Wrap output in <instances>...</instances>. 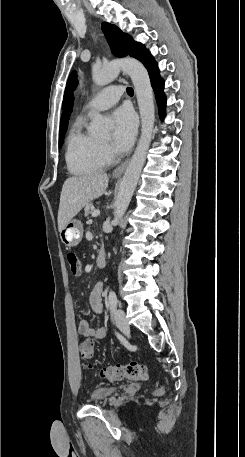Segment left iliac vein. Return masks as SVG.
Instances as JSON below:
<instances>
[{
	"mask_svg": "<svg viewBox=\"0 0 245 457\" xmlns=\"http://www.w3.org/2000/svg\"><path fill=\"white\" fill-rule=\"evenodd\" d=\"M114 321L117 327L122 331L129 330V324L126 319L125 313L122 309H116L114 313Z\"/></svg>",
	"mask_w": 245,
	"mask_h": 457,
	"instance_id": "1",
	"label": "left iliac vein"
}]
</instances>
